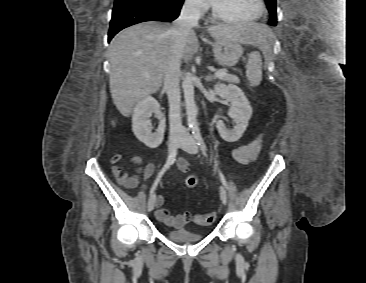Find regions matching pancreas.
Wrapping results in <instances>:
<instances>
[{"label": "pancreas", "instance_id": "cf45deb5", "mask_svg": "<svg viewBox=\"0 0 366 283\" xmlns=\"http://www.w3.org/2000/svg\"><path fill=\"white\" fill-rule=\"evenodd\" d=\"M221 80L226 81V82L235 83V84L240 83V80L238 79V77H236L235 75H230V74H226L225 76H223L221 78Z\"/></svg>", "mask_w": 366, "mask_h": 283}]
</instances>
